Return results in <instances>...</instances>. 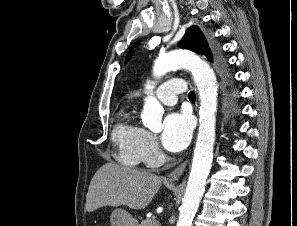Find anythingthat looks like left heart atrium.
Returning a JSON list of instances; mask_svg holds the SVG:
<instances>
[{
  "label": "left heart atrium",
  "mask_w": 297,
  "mask_h": 226,
  "mask_svg": "<svg viewBox=\"0 0 297 226\" xmlns=\"http://www.w3.org/2000/svg\"><path fill=\"white\" fill-rule=\"evenodd\" d=\"M192 135V124L188 115L171 113L163 123L162 144L168 151H182L189 143Z\"/></svg>",
  "instance_id": "left-heart-atrium-1"
}]
</instances>
